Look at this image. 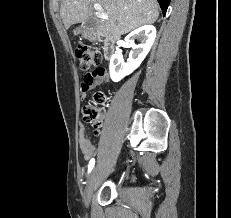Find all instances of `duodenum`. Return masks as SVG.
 <instances>
[{
  "mask_svg": "<svg viewBox=\"0 0 231 218\" xmlns=\"http://www.w3.org/2000/svg\"><path fill=\"white\" fill-rule=\"evenodd\" d=\"M88 36L93 40H103L104 41V53L107 59H110L116 51V41L117 39L113 36H104L99 31H90Z\"/></svg>",
  "mask_w": 231,
  "mask_h": 218,
  "instance_id": "410a0bca",
  "label": "duodenum"
}]
</instances>
